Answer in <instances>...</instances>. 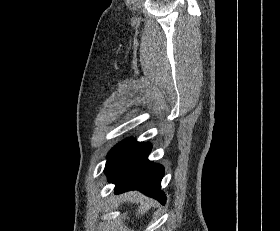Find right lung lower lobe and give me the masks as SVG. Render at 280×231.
Listing matches in <instances>:
<instances>
[{
	"label": "right lung lower lobe",
	"mask_w": 280,
	"mask_h": 231,
	"mask_svg": "<svg viewBox=\"0 0 280 231\" xmlns=\"http://www.w3.org/2000/svg\"><path fill=\"white\" fill-rule=\"evenodd\" d=\"M150 151L149 143L126 139L109 152L105 173L116 184L115 194L139 190L165 204L166 196L160 190L164 169L148 160Z\"/></svg>",
	"instance_id": "1"
}]
</instances>
